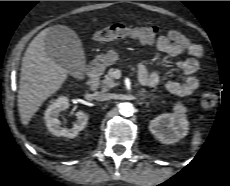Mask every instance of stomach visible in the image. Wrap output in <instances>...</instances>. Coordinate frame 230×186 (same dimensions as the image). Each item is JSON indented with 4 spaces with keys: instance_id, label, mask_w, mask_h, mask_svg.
I'll return each instance as SVG.
<instances>
[{
    "instance_id": "0dacf381",
    "label": "stomach",
    "mask_w": 230,
    "mask_h": 186,
    "mask_svg": "<svg viewBox=\"0 0 230 186\" xmlns=\"http://www.w3.org/2000/svg\"><path fill=\"white\" fill-rule=\"evenodd\" d=\"M118 58V53L114 50H110L106 55L98 56L97 62L102 66H109L114 64Z\"/></svg>"
}]
</instances>
